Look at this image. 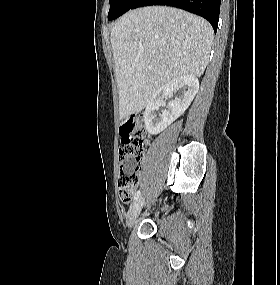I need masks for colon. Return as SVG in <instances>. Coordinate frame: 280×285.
<instances>
[{"label":"colon","mask_w":280,"mask_h":285,"mask_svg":"<svg viewBox=\"0 0 280 285\" xmlns=\"http://www.w3.org/2000/svg\"><path fill=\"white\" fill-rule=\"evenodd\" d=\"M119 177L120 199L129 203L139 182V164L144 158L148 134L144 115L135 113L125 117L120 124Z\"/></svg>","instance_id":"obj_1"}]
</instances>
